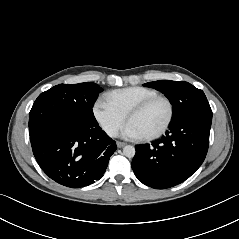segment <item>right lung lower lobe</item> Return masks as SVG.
Returning <instances> with one entry per match:
<instances>
[{
    "label": "right lung lower lobe",
    "instance_id": "right-lung-lower-lobe-1",
    "mask_svg": "<svg viewBox=\"0 0 239 239\" xmlns=\"http://www.w3.org/2000/svg\"><path fill=\"white\" fill-rule=\"evenodd\" d=\"M33 154L57 183L79 188L102 178L117 146L98 125L44 127L30 135Z\"/></svg>",
    "mask_w": 239,
    "mask_h": 239
}]
</instances>
